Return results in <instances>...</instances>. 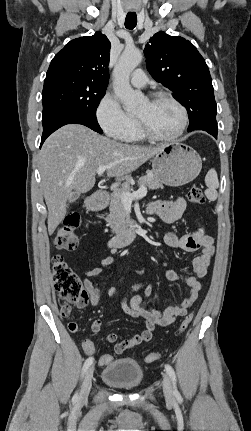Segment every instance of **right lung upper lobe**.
Wrapping results in <instances>:
<instances>
[{"label": "right lung upper lobe", "mask_w": 251, "mask_h": 431, "mask_svg": "<svg viewBox=\"0 0 251 431\" xmlns=\"http://www.w3.org/2000/svg\"><path fill=\"white\" fill-rule=\"evenodd\" d=\"M111 43L101 32L68 42L52 59L47 73L64 72L108 85Z\"/></svg>", "instance_id": "cb5924a9"}]
</instances>
